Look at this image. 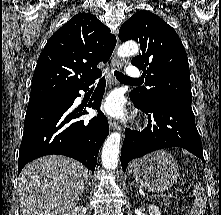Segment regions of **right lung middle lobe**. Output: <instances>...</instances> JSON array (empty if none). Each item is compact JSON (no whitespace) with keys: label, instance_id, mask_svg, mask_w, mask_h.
<instances>
[{"label":"right lung middle lobe","instance_id":"dd1d6c3e","mask_svg":"<svg viewBox=\"0 0 221 215\" xmlns=\"http://www.w3.org/2000/svg\"><path fill=\"white\" fill-rule=\"evenodd\" d=\"M59 96H61V95H59ZM59 96H52V97L44 98V99L37 100V101H30L29 104H30V103H37V102H43V101L53 100V99H55V98H58Z\"/></svg>","mask_w":221,"mask_h":215}]
</instances>
